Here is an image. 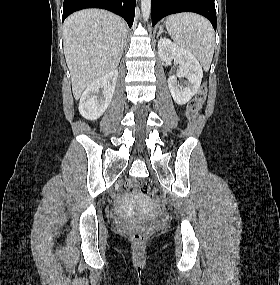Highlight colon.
Wrapping results in <instances>:
<instances>
[{"instance_id":"1","label":"colon","mask_w":280,"mask_h":285,"mask_svg":"<svg viewBox=\"0 0 280 285\" xmlns=\"http://www.w3.org/2000/svg\"><path fill=\"white\" fill-rule=\"evenodd\" d=\"M206 99V89L202 87L194 98L187 104L186 116L188 118H194L202 109ZM128 188L133 189L138 194H145L149 190V186L145 182L131 180L128 182ZM132 240L135 242H143L147 233L144 231H134L132 234Z\"/></svg>"}]
</instances>
